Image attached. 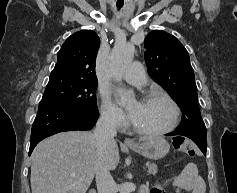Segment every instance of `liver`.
<instances>
[{"label": "liver", "mask_w": 237, "mask_h": 193, "mask_svg": "<svg viewBox=\"0 0 237 193\" xmlns=\"http://www.w3.org/2000/svg\"><path fill=\"white\" fill-rule=\"evenodd\" d=\"M97 158L90 131L61 132L41 141L31 155L32 193H86L96 175ZM103 160L109 170L118 166L115 140L110 141Z\"/></svg>", "instance_id": "6515ba94"}]
</instances>
